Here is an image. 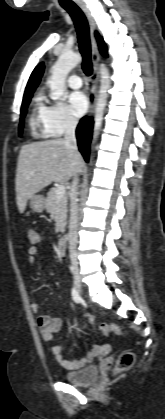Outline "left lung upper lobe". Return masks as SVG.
Here are the masks:
<instances>
[{"instance_id":"left-lung-upper-lobe-1","label":"left lung upper lobe","mask_w":165,"mask_h":419,"mask_svg":"<svg viewBox=\"0 0 165 419\" xmlns=\"http://www.w3.org/2000/svg\"><path fill=\"white\" fill-rule=\"evenodd\" d=\"M100 51L103 56L107 57V48L102 38H100Z\"/></svg>"}]
</instances>
